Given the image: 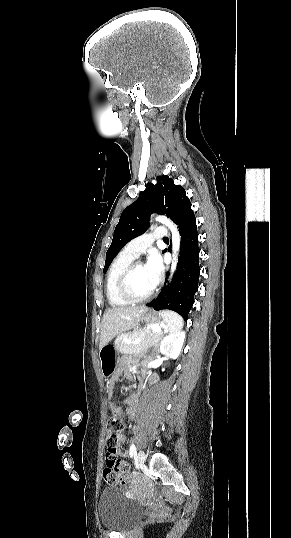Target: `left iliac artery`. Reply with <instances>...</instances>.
Masks as SVG:
<instances>
[{
    "label": "left iliac artery",
    "instance_id": "obj_1",
    "mask_svg": "<svg viewBox=\"0 0 291 538\" xmlns=\"http://www.w3.org/2000/svg\"><path fill=\"white\" fill-rule=\"evenodd\" d=\"M135 453H136V447H135V444H132L129 450L130 458H132L135 455Z\"/></svg>",
    "mask_w": 291,
    "mask_h": 538
}]
</instances>
